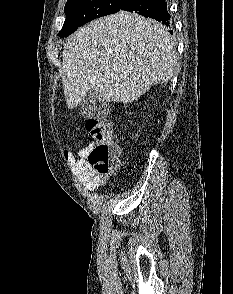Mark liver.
I'll use <instances>...</instances> for the list:
<instances>
[{
	"mask_svg": "<svg viewBox=\"0 0 233 294\" xmlns=\"http://www.w3.org/2000/svg\"><path fill=\"white\" fill-rule=\"evenodd\" d=\"M176 65V47L165 26L120 11L69 37L62 63L66 104L73 109L92 89L103 101L132 103L170 80Z\"/></svg>",
	"mask_w": 233,
	"mask_h": 294,
	"instance_id": "obj_1",
	"label": "liver"
}]
</instances>
